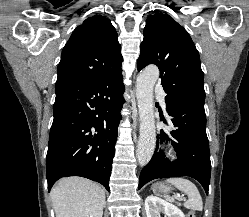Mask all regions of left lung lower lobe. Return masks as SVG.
<instances>
[{"instance_id": "left-lung-lower-lobe-1", "label": "left lung lower lobe", "mask_w": 249, "mask_h": 217, "mask_svg": "<svg viewBox=\"0 0 249 217\" xmlns=\"http://www.w3.org/2000/svg\"><path fill=\"white\" fill-rule=\"evenodd\" d=\"M166 110L171 117L172 129L168 133L161 130L157 135V149L141 171L138 189L154 179L189 176L196 179L208 194L211 162L204 105L189 100H172L166 102ZM168 135L175 139L171 142L178 158L173 162L158 151L159 140L160 143L168 141Z\"/></svg>"}]
</instances>
